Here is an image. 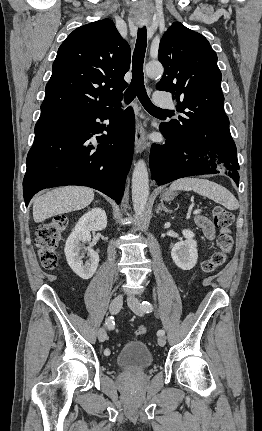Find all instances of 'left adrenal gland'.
I'll list each match as a JSON object with an SVG mask.
<instances>
[{
	"label": "left adrenal gland",
	"mask_w": 262,
	"mask_h": 431,
	"mask_svg": "<svg viewBox=\"0 0 262 431\" xmlns=\"http://www.w3.org/2000/svg\"><path fill=\"white\" fill-rule=\"evenodd\" d=\"M161 210H163V211H165V212H169V213H171V212H172L171 210H169V209L164 205L163 200H161L160 204L157 206L156 212H157V213H159V211H161Z\"/></svg>",
	"instance_id": "left-adrenal-gland-1"
}]
</instances>
